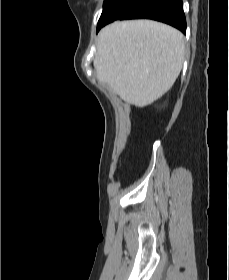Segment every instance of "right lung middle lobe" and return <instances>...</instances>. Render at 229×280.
I'll use <instances>...</instances> for the list:
<instances>
[{
  "label": "right lung middle lobe",
  "instance_id": "right-lung-middle-lobe-1",
  "mask_svg": "<svg viewBox=\"0 0 229 280\" xmlns=\"http://www.w3.org/2000/svg\"><path fill=\"white\" fill-rule=\"evenodd\" d=\"M116 0H105L103 5V11L101 17L99 19L98 25L102 22V20L106 17L110 9L112 8L113 4Z\"/></svg>",
  "mask_w": 229,
  "mask_h": 280
}]
</instances>
